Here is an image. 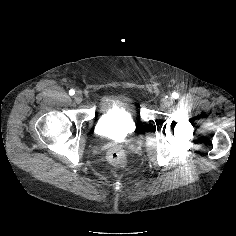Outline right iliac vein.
I'll use <instances>...</instances> for the list:
<instances>
[{"label": "right iliac vein", "instance_id": "63e3f726", "mask_svg": "<svg viewBox=\"0 0 236 236\" xmlns=\"http://www.w3.org/2000/svg\"><path fill=\"white\" fill-rule=\"evenodd\" d=\"M74 100H75V102L76 103H81L82 102V100H83V95H82V93L81 92H77L76 94H75V96H74Z\"/></svg>", "mask_w": 236, "mask_h": 236}]
</instances>
